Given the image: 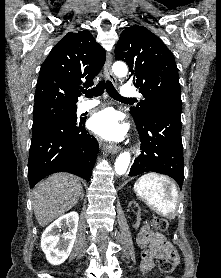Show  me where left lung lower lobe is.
I'll return each mask as SVG.
<instances>
[{"mask_svg": "<svg viewBox=\"0 0 221 278\" xmlns=\"http://www.w3.org/2000/svg\"><path fill=\"white\" fill-rule=\"evenodd\" d=\"M141 154L135 159L129 176L152 171L172 177L182 187L184 179L181 118L158 112L137 124Z\"/></svg>", "mask_w": 221, "mask_h": 278, "instance_id": "1", "label": "left lung lower lobe"}]
</instances>
